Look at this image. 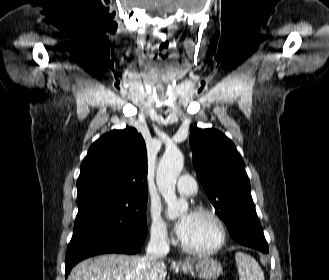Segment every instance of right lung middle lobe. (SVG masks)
Returning <instances> with one entry per match:
<instances>
[{"label":"right lung middle lobe","mask_w":329,"mask_h":280,"mask_svg":"<svg viewBox=\"0 0 329 280\" xmlns=\"http://www.w3.org/2000/svg\"><path fill=\"white\" fill-rule=\"evenodd\" d=\"M147 197H88L77 199L78 213L68 247L99 234L141 241L147 234Z\"/></svg>","instance_id":"dd1d6c3e"}]
</instances>
